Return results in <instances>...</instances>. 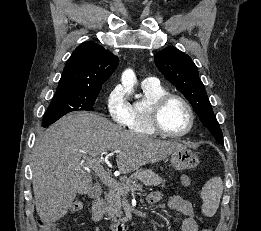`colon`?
Returning a JSON list of instances; mask_svg holds the SVG:
<instances>
[{"label":"colon","mask_w":261,"mask_h":231,"mask_svg":"<svg viewBox=\"0 0 261 231\" xmlns=\"http://www.w3.org/2000/svg\"><path fill=\"white\" fill-rule=\"evenodd\" d=\"M84 208V204L81 201H75L69 207V213H77L80 212ZM39 230L40 231H59L56 224L54 222L46 221V220H38Z\"/></svg>","instance_id":"5ec220e1"}]
</instances>
